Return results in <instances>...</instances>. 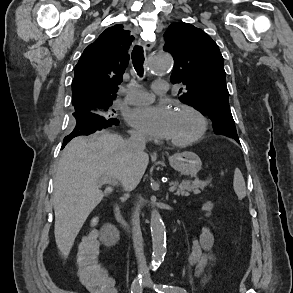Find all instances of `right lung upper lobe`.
<instances>
[{
  "mask_svg": "<svg viewBox=\"0 0 293 293\" xmlns=\"http://www.w3.org/2000/svg\"><path fill=\"white\" fill-rule=\"evenodd\" d=\"M134 39L123 25L102 32L83 52L74 68L72 104L75 112H92L94 103L113 101L128 64L127 50Z\"/></svg>",
  "mask_w": 293,
  "mask_h": 293,
  "instance_id": "obj_1",
  "label": "right lung upper lobe"
}]
</instances>
